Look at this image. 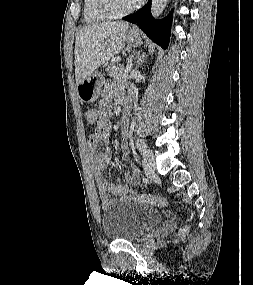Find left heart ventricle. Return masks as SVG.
Masks as SVG:
<instances>
[{
    "instance_id": "b2bd125f",
    "label": "left heart ventricle",
    "mask_w": 253,
    "mask_h": 285,
    "mask_svg": "<svg viewBox=\"0 0 253 285\" xmlns=\"http://www.w3.org/2000/svg\"><path fill=\"white\" fill-rule=\"evenodd\" d=\"M118 9H127L131 7L137 0H113Z\"/></svg>"
}]
</instances>
